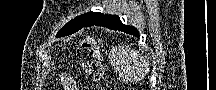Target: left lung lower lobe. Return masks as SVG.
I'll return each mask as SVG.
<instances>
[{
  "label": "left lung lower lobe",
  "instance_id": "1",
  "mask_svg": "<svg viewBox=\"0 0 216 90\" xmlns=\"http://www.w3.org/2000/svg\"><path fill=\"white\" fill-rule=\"evenodd\" d=\"M93 25L103 26V27H107L109 29H114V30H119V31H124L126 33L131 34V35L139 37V32L137 29H135L132 26H127V25L122 24V22L120 21V18L118 16H115V15H108L104 19L97 21ZM93 25H91V26H93Z\"/></svg>",
  "mask_w": 216,
  "mask_h": 90
}]
</instances>
